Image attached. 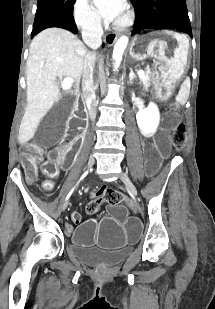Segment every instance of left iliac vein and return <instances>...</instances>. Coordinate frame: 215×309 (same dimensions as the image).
Returning <instances> with one entry per match:
<instances>
[{
    "mask_svg": "<svg viewBox=\"0 0 215 309\" xmlns=\"http://www.w3.org/2000/svg\"><path fill=\"white\" fill-rule=\"evenodd\" d=\"M121 180L127 186L129 192L133 196H137V189H136L135 185L131 182V180L129 179V177L127 176L126 173H124V172L121 173Z\"/></svg>",
    "mask_w": 215,
    "mask_h": 309,
    "instance_id": "1",
    "label": "left iliac vein"
}]
</instances>
